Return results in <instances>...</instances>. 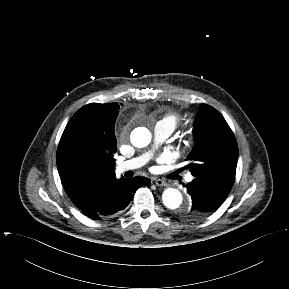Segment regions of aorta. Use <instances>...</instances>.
<instances>
[{
    "label": "aorta",
    "instance_id": "aorta-1",
    "mask_svg": "<svg viewBox=\"0 0 289 289\" xmlns=\"http://www.w3.org/2000/svg\"><path fill=\"white\" fill-rule=\"evenodd\" d=\"M151 141V133L147 128H137L132 136L131 142L135 147L142 148L147 146ZM163 204L171 210H181L187 212L190 204L184 203L181 192L175 188H168L162 194Z\"/></svg>",
    "mask_w": 289,
    "mask_h": 289
}]
</instances>
